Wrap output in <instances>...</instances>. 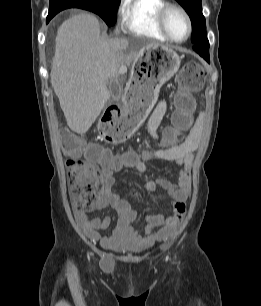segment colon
<instances>
[{
  "mask_svg": "<svg viewBox=\"0 0 261 306\" xmlns=\"http://www.w3.org/2000/svg\"><path fill=\"white\" fill-rule=\"evenodd\" d=\"M204 79V69L197 62H189L180 70L177 76L176 103L178 110L174 115L175 127L165 131L166 140L173 138L178 130H185L190 126V113L194 108L193 94L201 88ZM102 134L111 142H120L129 138L131 128L112 119L103 123ZM63 146L65 151L72 156L84 150L91 162L107 158V152L103 149L95 146L85 148L79 139L69 133L64 137ZM113 157L122 161L135 159L133 153ZM68 180L72 204L78 210L88 209L92 199L103 187L101 173L92 163L75 164L69 170Z\"/></svg>",
  "mask_w": 261,
  "mask_h": 306,
  "instance_id": "colon-1",
  "label": "colon"
}]
</instances>
